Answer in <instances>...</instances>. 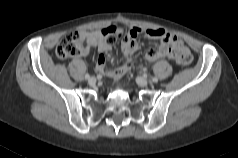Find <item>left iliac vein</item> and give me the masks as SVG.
Masks as SVG:
<instances>
[{
	"label": "left iliac vein",
	"instance_id": "4c4485c4",
	"mask_svg": "<svg viewBox=\"0 0 238 158\" xmlns=\"http://www.w3.org/2000/svg\"><path fill=\"white\" fill-rule=\"evenodd\" d=\"M137 83L140 86H147L148 85V80L146 78L139 77V78H137Z\"/></svg>",
	"mask_w": 238,
	"mask_h": 158
}]
</instances>
